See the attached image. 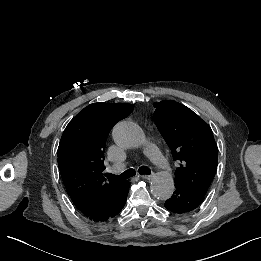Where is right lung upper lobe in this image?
I'll return each mask as SVG.
<instances>
[{"label":"right lung upper lobe","mask_w":261,"mask_h":261,"mask_svg":"<svg viewBox=\"0 0 261 261\" xmlns=\"http://www.w3.org/2000/svg\"><path fill=\"white\" fill-rule=\"evenodd\" d=\"M134 109L131 104L98 102L79 112L65 128L57 156L65 188L84 215L92 206L121 190L127 181L104 177V147L117 121Z\"/></svg>","instance_id":"1"}]
</instances>
